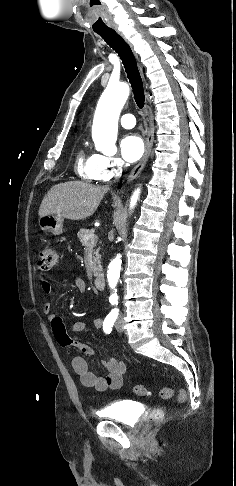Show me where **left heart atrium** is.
Here are the masks:
<instances>
[{
    "label": "left heart atrium",
    "mask_w": 236,
    "mask_h": 486,
    "mask_svg": "<svg viewBox=\"0 0 236 486\" xmlns=\"http://www.w3.org/2000/svg\"><path fill=\"white\" fill-rule=\"evenodd\" d=\"M120 148L123 158L129 163H133L143 155L144 143L139 136L130 134L121 140Z\"/></svg>",
    "instance_id": "39dd6f15"
}]
</instances>
